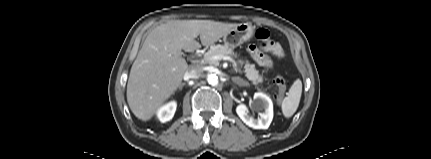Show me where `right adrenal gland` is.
Listing matches in <instances>:
<instances>
[{
    "label": "right adrenal gland",
    "instance_id": "1",
    "mask_svg": "<svg viewBox=\"0 0 431 159\" xmlns=\"http://www.w3.org/2000/svg\"><path fill=\"white\" fill-rule=\"evenodd\" d=\"M185 85V83H182L179 87V89L181 90L183 88V86Z\"/></svg>",
    "mask_w": 431,
    "mask_h": 159
}]
</instances>
